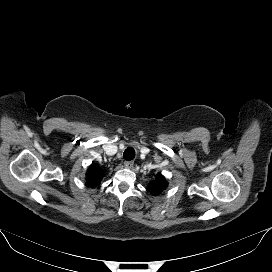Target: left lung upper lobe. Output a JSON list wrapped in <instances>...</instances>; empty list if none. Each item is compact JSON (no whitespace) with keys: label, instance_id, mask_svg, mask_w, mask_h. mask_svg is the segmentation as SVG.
Returning a JSON list of instances; mask_svg holds the SVG:
<instances>
[{"label":"left lung upper lobe","instance_id":"left-lung-upper-lobe-1","mask_svg":"<svg viewBox=\"0 0 272 272\" xmlns=\"http://www.w3.org/2000/svg\"><path fill=\"white\" fill-rule=\"evenodd\" d=\"M167 182L165 178L161 174H157L156 180L151 182L148 186V190L154 194L157 195L159 194L162 190L166 189L167 187Z\"/></svg>","mask_w":272,"mask_h":272}]
</instances>
